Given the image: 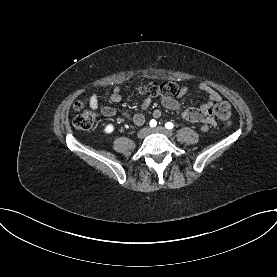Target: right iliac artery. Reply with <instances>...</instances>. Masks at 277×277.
<instances>
[{
    "instance_id": "1",
    "label": "right iliac artery",
    "mask_w": 277,
    "mask_h": 277,
    "mask_svg": "<svg viewBox=\"0 0 277 277\" xmlns=\"http://www.w3.org/2000/svg\"><path fill=\"white\" fill-rule=\"evenodd\" d=\"M149 124H150V127H155L157 122L154 119H152Z\"/></svg>"
}]
</instances>
